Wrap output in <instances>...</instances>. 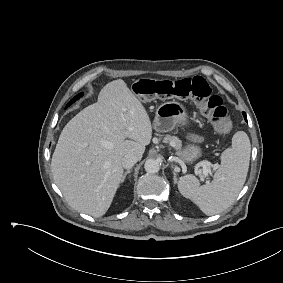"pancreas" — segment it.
<instances>
[{
	"label": "pancreas",
	"instance_id": "cf45deb5",
	"mask_svg": "<svg viewBox=\"0 0 283 283\" xmlns=\"http://www.w3.org/2000/svg\"><path fill=\"white\" fill-rule=\"evenodd\" d=\"M163 141L165 143H170L172 147H174L176 150H180L181 149V141L179 140V138L175 137V136H166Z\"/></svg>",
	"mask_w": 283,
	"mask_h": 283
}]
</instances>
